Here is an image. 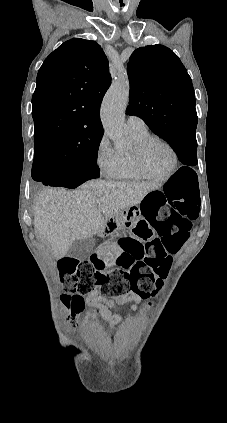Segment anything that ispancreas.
Segmentation results:
<instances>
[{
  "instance_id": "cf45deb5",
  "label": "pancreas",
  "mask_w": 227,
  "mask_h": 423,
  "mask_svg": "<svg viewBox=\"0 0 227 423\" xmlns=\"http://www.w3.org/2000/svg\"><path fill=\"white\" fill-rule=\"evenodd\" d=\"M117 229H121V225H119V227H117Z\"/></svg>"
}]
</instances>
